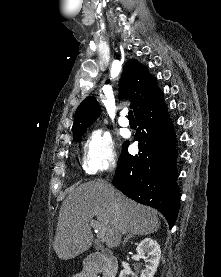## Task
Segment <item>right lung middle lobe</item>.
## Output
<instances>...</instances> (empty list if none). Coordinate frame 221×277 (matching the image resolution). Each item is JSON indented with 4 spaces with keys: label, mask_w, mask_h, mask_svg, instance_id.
Masks as SVG:
<instances>
[{
    "label": "right lung middle lobe",
    "mask_w": 221,
    "mask_h": 277,
    "mask_svg": "<svg viewBox=\"0 0 221 277\" xmlns=\"http://www.w3.org/2000/svg\"><path fill=\"white\" fill-rule=\"evenodd\" d=\"M86 130H83L81 132H78L76 134H73V139L74 141H78L80 142L81 141V138H82V135L85 133Z\"/></svg>",
    "instance_id": "dd1d6c3e"
}]
</instances>
